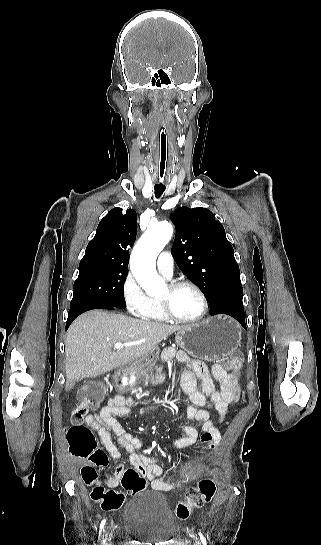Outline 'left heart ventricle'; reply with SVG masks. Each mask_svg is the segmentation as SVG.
Masks as SVG:
<instances>
[{
    "instance_id": "1",
    "label": "left heart ventricle",
    "mask_w": 321,
    "mask_h": 545,
    "mask_svg": "<svg viewBox=\"0 0 321 545\" xmlns=\"http://www.w3.org/2000/svg\"><path fill=\"white\" fill-rule=\"evenodd\" d=\"M159 302L166 304L176 315L185 319L195 318L202 308L199 295L191 288L172 292L166 286Z\"/></svg>"
}]
</instances>
